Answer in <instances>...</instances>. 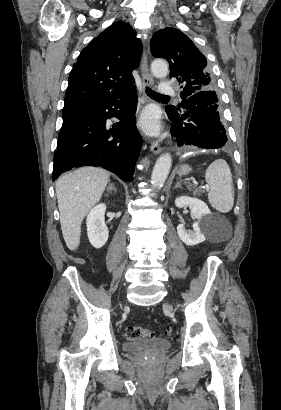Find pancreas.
I'll return each instance as SVG.
<instances>
[{
	"instance_id": "obj_1",
	"label": "pancreas",
	"mask_w": 281,
	"mask_h": 410,
	"mask_svg": "<svg viewBox=\"0 0 281 410\" xmlns=\"http://www.w3.org/2000/svg\"><path fill=\"white\" fill-rule=\"evenodd\" d=\"M190 190L193 191L194 195H198V196L204 193V190H202L201 188L192 187Z\"/></svg>"
}]
</instances>
